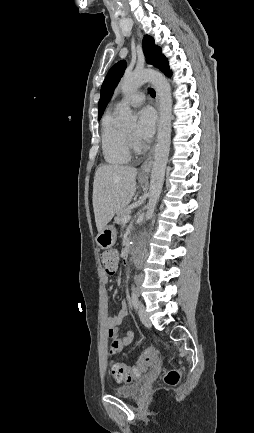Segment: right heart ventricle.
Returning <instances> with one entry per match:
<instances>
[{"label":"right heart ventricle","instance_id":"e07e8e85","mask_svg":"<svg viewBox=\"0 0 254 433\" xmlns=\"http://www.w3.org/2000/svg\"><path fill=\"white\" fill-rule=\"evenodd\" d=\"M101 147L104 160L110 165H123L131 158L124 130L117 125L112 112L107 113L102 120Z\"/></svg>","mask_w":254,"mask_h":433}]
</instances>
